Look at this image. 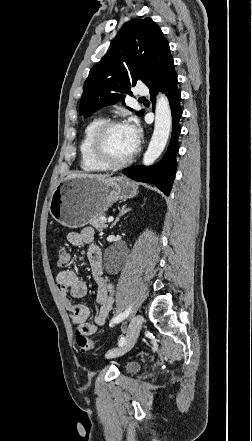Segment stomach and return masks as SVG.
Segmentation results:
<instances>
[{
    "label": "stomach",
    "instance_id": "1",
    "mask_svg": "<svg viewBox=\"0 0 252 441\" xmlns=\"http://www.w3.org/2000/svg\"><path fill=\"white\" fill-rule=\"evenodd\" d=\"M137 193L138 186L123 176L66 178L54 190L49 210L61 225L78 228L102 216L118 200L133 198Z\"/></svg>",
    "mask_w": 252,
    "mask_h": 441
}]
</instances>
